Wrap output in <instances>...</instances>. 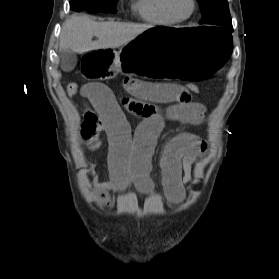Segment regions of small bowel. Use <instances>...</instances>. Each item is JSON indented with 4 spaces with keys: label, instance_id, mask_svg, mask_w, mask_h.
I'll return each instance as SVG.
<instances>
[{
    "label": "small bowel",
    "instance_id": "c3829d8e",
    "mask_svg": "<svg viewBox=\"0 0 279 279\" xmlns=\"http://www.w3.org/2000/svg\"><path fill=\"white\" fill-rule=\"evenodd\" d=\"M130 96L116 98L102 83H88L81 88L85 115L81 136L92 151L102 148L100 134L108 137V167L106 181L98 178L93 168L89 173L94 195L102 204H109L110 192L133 183L150 192L151 159L157 139L168 122L198 125L206 113L205 107L186 96L178 84H158L140 80L132 75L124 79ZM158 104L168 105L165 108ZM124 110L141 118L134 135ZM207 151L206 143L197 135L182 133L164 148L160 166L162 186L167 199L179 203L185 198V187L192 180V167Z\"/></svg>",
    "mask_w": 279,
    "mask_h": 279
}]
</instances>
